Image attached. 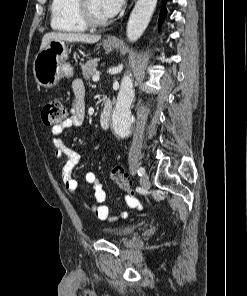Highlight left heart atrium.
<instances>
[{"instance_id": "1", "label": "left heart atrium", "mask_w": 247, "mask_h": 296, "mask_svg": "<svg viewBox=\"0 0 247 296\" xmlns=\"http://www.w3.org/2000/svg\"><path fill=\"white\" fill-rule=\"evenodd\" d=\"M124 0H100V9L106 18L115 16L122 7Z\"/></svg>"}]
</instances>
